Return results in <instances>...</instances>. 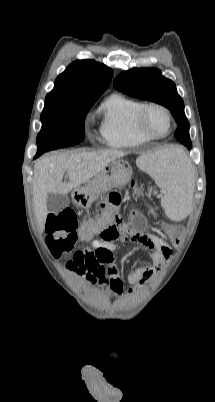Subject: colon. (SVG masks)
Instances as JSON below:
<instances>
[{
  "label": "colon",
  "instance_id": "colon-1",
  "mask_svg": "<svg viewBox=\"0 0 215 402\" xmlns=\"http://www.w3.org/2000/svg\"><path fill=\"white\" fill-rule=\"evenodd\" d=\"M132 186L137 190L141 186L132 182ZM120 195L116 192L110 193L104 202L99 204L102 213L100 217L94 222L85 223L80 232H77V218L72 210H63L59 213L49 214L46 221V243L51 253L58 257L63 253L70 252L76 245L78 238L81 244H88L90 238L97 231L113 226L116 219V208L120 204ZM187 225L185 223H177L175 225H166L163 227V232L173 246H178L182 238H186L188 233L185 230ZM81 259L80 252L75 253L73 260L79 261Z\"/></svg>",
  "mask_w": 215,
  "mask_h": 402
}]
</instances>
